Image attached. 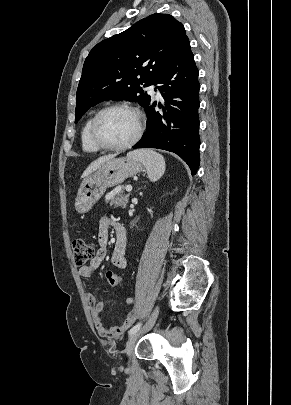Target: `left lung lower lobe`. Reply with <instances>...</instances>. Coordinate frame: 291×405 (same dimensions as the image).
<instances>
[{"instance_id":"0a47b994","label":"left lung lower lobe","mask_w":291,"mask_h":405,"mask_svg":"<svg viewBox=\"0 0 291 405\" xmlns=\"http://www.w3.org/2000/svg\"><path fill=\"white\" fill-rule=\"evenodd\" d=\"M198 75L186 37L154 82L159 84L157 88L165 101V107L159 104L163 113L156 111V102L150 100L146 107L148 131L133 146L135 149L157 148L174 152L188 164L192 175L197 173L200 164ZM177 97L182 100L179 105L173 100ZM171 105L179 109H173Z\"/></svg>"}]
</instances>
